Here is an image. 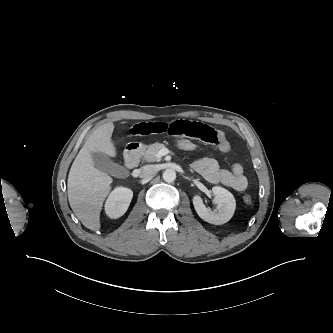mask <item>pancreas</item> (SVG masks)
Listing matches in <instances>:
<instances>
[{"instance_id": "cf45deb5", "label": "pancreas", "mask_w": 333, "mask_h": 333, "mask_svg": "<svg viewBox=\"0 0 333 333\" xmlns=\"http://www.w3.org/2000/svg\"><path fill=\"white\" fill-rule=\"evenodd\" d=\"M165 148V145L162 143H154L144 147L141 151V157L146 162H158L161 160V157L157 156L158 151Z\"/></svg>"}]
</instances>
